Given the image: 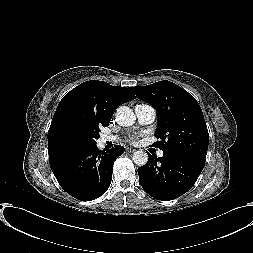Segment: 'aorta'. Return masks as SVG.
Masks as SVG:
<instances>
[{"label":"aorta","mask_w":253,"mask_h":253,"mask_svg":"<svg viewBox=\"0 0 253 253\" xmlns=\"http://www.w3.org/2000/svg\"><path fill=\"white\" fill-rule=\"evenodd\" d=\"M136 116L133 110L127 106H120L116 110V121L120 126H131L135 123ZM134 163L138 166H143L148 161V154L145 151H136L132 157Z\"/></svg>","instance_id":"762f6f07"}]
</instances>
